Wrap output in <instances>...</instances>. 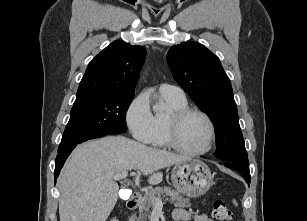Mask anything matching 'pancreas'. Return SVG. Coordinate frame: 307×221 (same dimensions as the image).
Wrapping results in <instances>:
<instances>
[{"instance_id": "1", "label": "pancreas", "mask_w": 307, "mask_h": 221, "mask_svg": "<svg viewBox=\"0 0 307 221\" xmlns=\"http://www.w3.org/2000/svg\"><path fill=\"white\" fill-rule=\"evenodd\" d=\"M161 195L166 197V200H170L175 207L188 208L190 206L189 199L184 198L178 191L170 187H158L151 189L143 196L140 201L139 216L137 217L136 214L132 215L130 221H147V217L150 215V208L154 207L153 200L160 198Z\"/></svg>"}]
</instances>
